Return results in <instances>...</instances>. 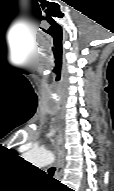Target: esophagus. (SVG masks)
<instances>
[{"label":"esophagus","instance_id":"1","mask_svg":"<svg viewBox=\"0 0 114 191\" xmlns=\"http://www.w3.org/2000/svg\"><path fill=\"white\" fill-rule=\"evenodd\" d=\"M56 148H57V166L55 171V177L56 179H60L65 161L64 136L61 129L58 130Z\"/></svg>","mask_w":114,"mask_h":191}]
</instances>
